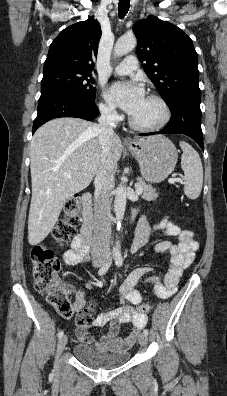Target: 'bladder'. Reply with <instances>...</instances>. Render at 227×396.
Returning <instances> with one entry per match:
<instances>
[{
  "instance_id": "bladder-1",
  "label": "bladder",
  "mask_w": 227,
  "mask_h": 396,
  "mask_svg": "<svg viewBox=\"0 0 227 396\" xmlns=\"http://www.w3.org/2000/svg\"><path fill=\"white\" fill-rule=\"evenodd\" d=\"M73 351L82 364L96 370L114 369L130 359V353L127 351L112 352L96 344H78Z\"/></svg>"
}]
</instances>
